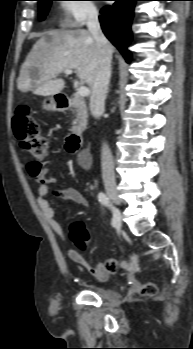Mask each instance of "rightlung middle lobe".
<instances>
[{"instance_id":"1","label":"right lung middle lobe","mask_w":193,"mask_h":349,"mask_svg":"<svg viewBox=\"0 0 193 349\" xmlns=\"http://www.w3.org/2000/svg\"><path fill=\"white\" fill-rule=\"evenodd\" d=\"M37 1H39V18L40 20H44L49 11L51 2L54 0H37Z\"/></svg>"}]
</instances>
